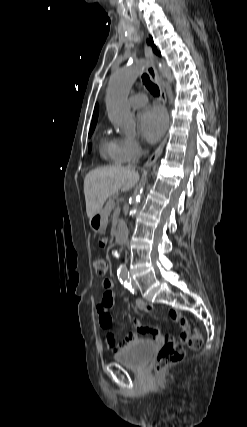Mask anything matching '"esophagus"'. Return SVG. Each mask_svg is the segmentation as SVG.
Instances as JSON below:
<instances>
[{
	"label": "esophagus",
	"mask_w": 247,
	"mask_h": 427,
	"mask_svg": "<svg viewBox=\"0 0 247 427\" xmlns=\"http://www.w3.org/2000/svg\"><path fill=\"white\" fill-rule=\"evenodd\" d=\"M144 55H145V59H146V70L148 75L150 76L151 80L158 85L159 89H160V99L162 104L164 105V107L166 108L167 105V95H166V90L164 85L162 84V82L159 79V75L157 72V69L155 67L154 64V58H153V54L151 52V49L149 46L145 45L144 47ZM167 137L168 135H166L164 137V139L162 140V142L160 143V145L157 147V149L148 157V159L145 161L144 166L145 167H149L151 166L156 160L157 158L161 155L164 145L167 141Z\"/></svg>",
	"instance_id": "esophagus-1"
}]
</instances>
